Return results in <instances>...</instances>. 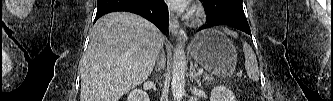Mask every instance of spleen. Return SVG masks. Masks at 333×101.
Listing matches in <instances>:
<instances>
[{"label": "spleen", "mask_w": 333, "mask_h": 101, "mask_svg": "<svg viewBox=\"0 0 333 101\" xmlns=\"http://www.w3.org/2000/svg\"><path fill=\"white\" fill-rule=\"evenodd\" d=\"M224 32L232 37H238V34L227 29L223 28ZM243 51L245 54V69L247 71V74L249 78L253 81H258L259 79V68L258 63L256 59V55L254 51L252 50L251 46L243 41Z\"/></svg>", "instance_id": "1"}]
</instances>
